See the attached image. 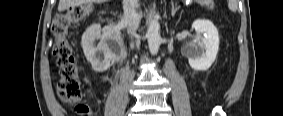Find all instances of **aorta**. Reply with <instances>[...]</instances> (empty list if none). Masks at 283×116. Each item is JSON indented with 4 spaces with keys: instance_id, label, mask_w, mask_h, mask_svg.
I'll use <instances>...</instances> for the list:
<instances>
[{
    "instance_id": "762f6f07",
    "label": "aorta",
    "mask_w": 283,
    "mask_h": 116,
    "mask_svg": "<svg viewBox=\"0 0 283 116\" xmlns=\"http://www.w3.org/2000/svg\"><path fill=\"white\" fill-rule=\"evenodd\" d=\"M147 40L150 53L152 55H156L162 43L160 36V24L156 18H152L149 21L147 29Z\"/></svg>"
}]
</instances>
